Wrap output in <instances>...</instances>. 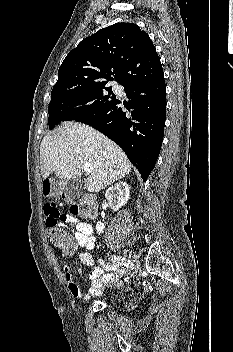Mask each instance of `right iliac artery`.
Segmentation results:
<instances>
[{"label":"right iliac artery","mask_w":233,"mask_h":352,"mask_svg":"<svg viewBox=\"0 0 233 352\" xmlns=\"http://www.w3.org/2000/svg\"><path fill=\"white\" fill-rule=\"evenodd\" d=\"M110 260L114 263V266L116 265L128 266L130 262L129 260L123 258L122 256H117V255H112L110 257Z\"/></svg>","instance_id":"1"}]
</instances>
